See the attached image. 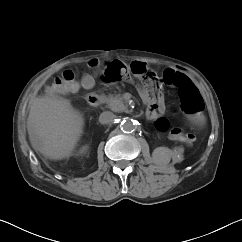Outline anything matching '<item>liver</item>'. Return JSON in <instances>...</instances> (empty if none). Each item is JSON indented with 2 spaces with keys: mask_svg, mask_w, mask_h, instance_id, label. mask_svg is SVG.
Listing matches in <instances>:
<instances>
[{
  "mask_svg": "<svg viewBox=\"0 0 242 242\" xmlns=\"http://www.w3.org/2000/svg\"><path fill=\"white\" fill-rule=\"evenodd\" d=\"M83 115L70 100L36 97L30 107L27 130L33 149L50 160H62L72 155L83 133Z\"/></svg>",
  "mask_w": 242,
  "mask_h": 242,
  "instance_id": "liver-1",
  "label": "liver"
}]
</instances>
